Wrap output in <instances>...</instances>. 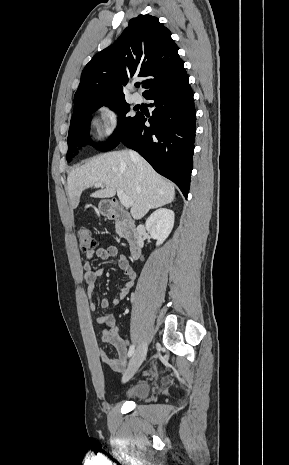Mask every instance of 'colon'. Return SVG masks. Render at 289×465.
Listing matches in <instances>:
<instances>
[{"label":"colon","instance_id":"5ec220e1","mask_svg":"<svg viewBox=\"0 0 289 465\" xmlns=\"http://www.w3.org/2000/svg\"><path fill=\"white\" fill-rule=\"evenodd\" d=\"M78 246L81 251L88 252L94 250L96 242L89 228L81 227L77 230Z\"/></svg>","mask_w":289,"mask_h":465}]
</instances>
